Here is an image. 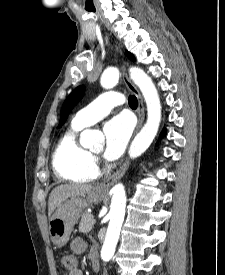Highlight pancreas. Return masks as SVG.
Masks as SVG:
<instances>
[{"label": "pancreas", "instance_id": "pancreas-1", "mask_svg": "<svg viewBox=\"0 0 225 275\" xmlns=\"http://www.w3.org/2000/svg\"><path fill=\"white\" fill-rule=\"evenodd\" d=\"M93 215L90 214V213H84L82 214V217H81V220H80V223H79V231L81 233H88L92 230L93 228V223H92V220H93Z\"/></svg>", "mask_w": 225, "mask_h": 275}]
</instances>
